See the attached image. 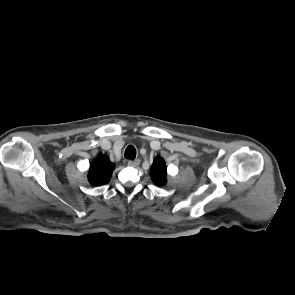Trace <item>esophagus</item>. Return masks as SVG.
I'll return each mask as SVG.
<instances>
[{"mask_svg": "<svg viewBox=\"0 0 295 295\" xmlns=\"http://www.w3.org/2000/svg\"><path fill=\"white\" fill-rule=\"evenodd\" d=\"M139 164H140V160L139 159L128 161V165L131 166V167H136Z\"/></svg>", "mask_w": 295, "mask_h": 295, "instance_id": "1", "label": "esophagus"}]
</instances>
